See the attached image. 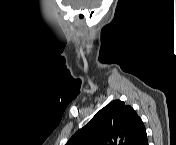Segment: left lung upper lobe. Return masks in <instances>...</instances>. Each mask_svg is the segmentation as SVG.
<instances>
[{
    "mask_svg": "<svg viewBox=\"0 0 176 145\" xmlns=\"http://www.w3.org/2000/svg\"><path fill=\"white\" fill-rule=\"evenodd\" d=\"M146 133L135 110L115 100L98 111L66 145H138Z\"/></svg>",
    "mask_w": 176,
    "mask_h": 145,
    "instance_id": "obj_1",
    "label": "left lung upper lobe"
}]
</instances>
